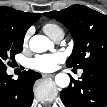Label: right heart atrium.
<instances>
[{"mask_svg":"<svg viewBox=\"0 0 107 107\" xmlns=\"http://www.w3.org/2000/svg\"><path fill=\"white\" fill-rule=\"evenodd\" d=\"M29 37H30V31H28V32L25 34L24 44H27V42H28V40H29Z\"/></svg>","mask_w":107,"mask_h":107,"instance_id":"1","label":"right heart atrium"}]
</instances>
